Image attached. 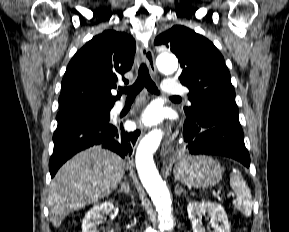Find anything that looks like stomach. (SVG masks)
Returning <instances> with one entry per match:
<instances>
[{
  "mask_svg": "<svg viewBox=\"0 0 289 232\" xmlns=\"http://www.w3.org/2000/svg\"><path fill=\"white\" fill-rule=\"evenodd\" d=\"M179 182L195 188L215 186L222 178L223 168L209 157H193L179 162L174 170Z\"/></svg>",
  "mask_w": 289,
  "mask_h": 232,
  "instance_id": "stomach-1",
  "label": "stomach"
}]
</instances>
